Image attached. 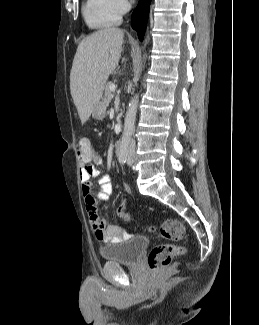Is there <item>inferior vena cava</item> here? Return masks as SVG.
Listing matches in <instances>:
<instances>
[{
    "label": "inferior vena cava",
    "mask_w": 259,
    "mask_h": 325,
    "mask_svg": "<svg viewBox=\"0 0 259 325\" xmlns=\"http://www.w3.org/2000/svg\"><path fill=\"white\" fill-rule=\"evenodd\" d=\"M135 141L133 139L129 140V147H134Z\"/></svg>",
    "instance_id": "602c4592"
}]
</instances>
